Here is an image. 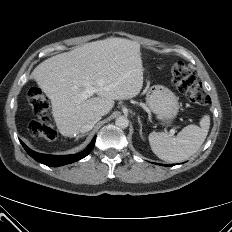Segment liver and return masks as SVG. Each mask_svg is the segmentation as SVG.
Masks as SVG:
<instances>
[{
  "instance_id": "liver-1",
  "label": "liver",
  "mask_w": 232,
  "mask_h": 232,
  "mask_svg": "<svg viewBox=\"0 0 232 232\" xmlns=\"http://www.w3.org/2000/svg\"><path fill=\"white\" fill-rule=\"evenodd\" d=\"M30 78L51 100L59 132L73 137L90 115H106L114 107V100L130 99L140 93V44L124 38L86 43L44 60ZM86 87H92L97 97L80 100Z\"/></svg>"
}]
</instances>
